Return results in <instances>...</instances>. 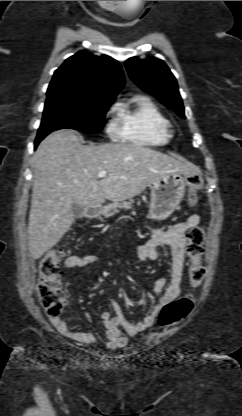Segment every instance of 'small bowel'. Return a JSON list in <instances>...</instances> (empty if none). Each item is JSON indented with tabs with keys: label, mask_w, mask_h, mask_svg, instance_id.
<instances>
[{
	"label": "small bowel",
	"mask_w": 242,
	"mask_h": 416,
	"mask_svg": "<svg viewBox=\"0 0 242 416\" xmlns=\"http://www.w3.org/2000/svg\"><path fill=\"white\" fill-rule=\"evenodd\" d=\"M200 223L198 214L190 215L186 220L176 223L171 229L162 231L148 227L149 239L142 245L134 247L136 262L158 257L157 248L160 245H168L172 252V267L169 279L167 277L158 278L152 288L154 294H161L159 301L153 306L151 311L139 322L133 324L126 320L120 304L111 299L114 315L110 312H103L101 315L102 325L108 339L107 348L114 350L123 348L127 344V338L123 335L124 330L129 336H135L149 329L156 321L161 309L168 303L174 301L181 293V283L183 278L184 254L186 246V234L193 226ZM99 257L95 255H71L64 261V267L83 268L98 265ZM56 329L66 338L81 344L93 343L97 337L91 332L75 331L71 329L64 318L50 317Z\"/></svg>",
	"instance_id": "1"
}]
</instances>
